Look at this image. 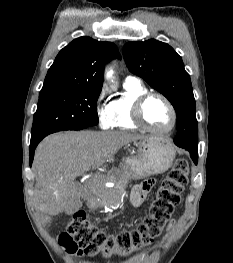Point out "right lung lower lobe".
Masks as SVG:
<instances>
[{"label":"right lung lower lobe","instance_id":"1","mask_svg":"<svg viewBox=\"0 0 233 263\" xmlns=\"http://www.w3.org/2000/svg\"><path fill=\"white\" fill-rule=\"evenodd\" d=\"M83 128H86V127H79V128L68 129V130H80V129H83ZM43 138L44 137H42L40 139H37L35 141H31V143H30V166H31V164L33 162L35 148L37 147V145L39 144V142Z\"/></svg>","mask_w":233,"mask_h":263}]
</instances>
